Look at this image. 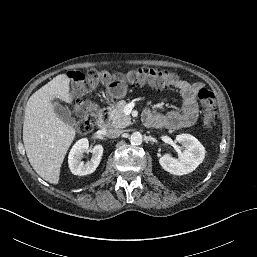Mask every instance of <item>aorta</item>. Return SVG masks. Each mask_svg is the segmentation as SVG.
<instances>
[{
  "label": "aorta",
  "mask_w": 257,
  "mask_h": 257,
  "mask_svg": "<svg viewBox=\"0 0 257 257\" xmlns=\"http://www.w3.org/2000/svg\"><path fill=\"white\" fill-rule=\"evenodd\" d=\"M131 144L140 145L143 142V136L140 132H134L129 138Z\"/></svg>",
  "instance_id": "obj_1"
}]
</instances>
